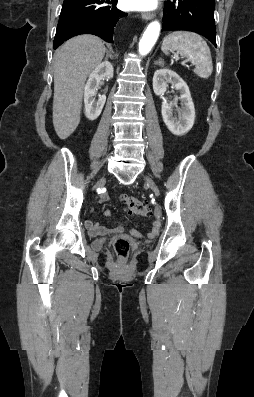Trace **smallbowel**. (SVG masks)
Returning <instances> with one entry per match:
<instances>
[{
	"label": "small bowel",
	"mask_w": 254,
	"mask_h": 397,
	"mask_svg": "<svg viewBox=\"0 0 254 397\" xmlns=\"http://www.w3.org/2000/svg\"><path fill=\"white\" fill-rule=\"evenodd\" d=\"M101 200L102 201H106L107 200V196L106 195H102L101 196ZM104 215L110 217L111 216V212L109 210H106L104 212ZM85 225H86V228L88 229L90 235H92V236L106 235V234H109V233L112 232L111 230L107 229L106 227L100 225L99 223L94 222L91 218H87L86 219ZM159 228H160V223L159 222H154L153 228L148 233V236L151 237V238L156 236L158 231H159ZM122 230H123V226L122 225H119L115 229V231H117V232H120Z\"/></svg>",
	"instance_id": "1"
}]
</instances>
